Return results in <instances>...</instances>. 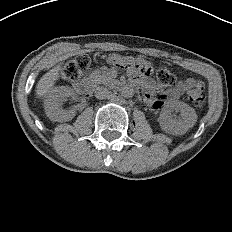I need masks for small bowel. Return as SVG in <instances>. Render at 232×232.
Masks as SVG:
<instances>
[{
	"label": "small bowel",
	"instance_id": "1",
	"mask_svg": "<svg viewBox=\"0 0 232 232\" xmlns=\"http://www.w3.org/2000/svg\"><path fill=\"white\" fill-rule=\"evenodd\" d=\"M105 60L111 65H117L118 71L122 75L128 74L129 76L141 81L146 101L155 109L160 108L166 99H174L178 97L184 89V84H179L177 88L172 90L169 95L156 96L153 91V82L151 81L150 74L153 73V65L146 59L140 57H122L109 53L106 55Z\"/></svg>",
	"mask_w": 232,
	"mask_h": 232
}]
</instances>
